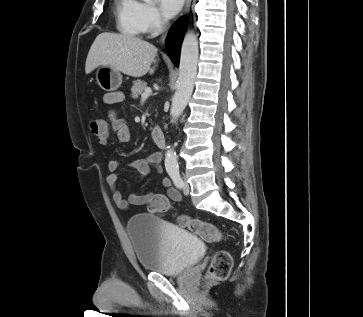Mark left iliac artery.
<instances>
[{
  "instance_id": "obj_1",
  "label": "left iliac artery",
  "mask_w": 363,
  "mask_h": 317,
  "mask_svg": "<svg viewBox=\"0 0 363 317\" xmlns=\"http://www.w3.org/2000/svg\"><path fill=\"white\" fill-rule=\"evenodd\" d=\"M169 175L173 181V183L175 184V186L177 188H182L183 187V181L180 177V173L178 170H173L169 172Z\"/></svg>"
}]
</instances>
